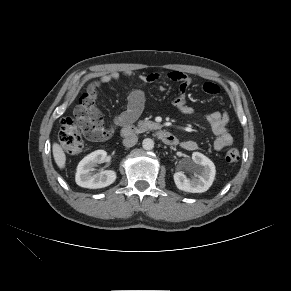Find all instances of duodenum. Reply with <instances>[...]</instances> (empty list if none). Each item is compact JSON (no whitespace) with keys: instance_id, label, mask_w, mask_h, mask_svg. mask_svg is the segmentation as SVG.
Segmentation results:
<instances>
[{"instance_id":"410a0bca","label":"duodenum","mask_w":291,"mask_h":291,"mask_svg":"<svg viewBox=\"0 0 291 291\" xmlns=\"http://www.w3.org/2000/svg\"><path fill=\"white\" fill-rule=\"evenodd\" d=\"M139 132H140V128L132 124H125L122 126V129H121V135L124 137H129ZM156 135L166 145H175L177 143L176 137L167 130L157 129Z\"/></svg>"}]
</instances>
